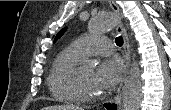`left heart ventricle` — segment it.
Returning a JSON list of instances; mask_svg holds the SVG:
<instances>
[{
    "instance_id": "1",
    "label": "left heart ventricle",
    "mask_w": 171,
    "mask_h": 110,
    "mask_svg": "<svg viewBox=\"0 0 171 110\" xmlns=\"http://www.w3.org/2000/svg\"><path fill=\"white\" fill-rule=\"evenodd\" d=\"M94 70L87 67L80 68V80L84 89L92 94L98 95L101 94V90L96 86L94 82Z\"/></svg>"
}]
</instances>
